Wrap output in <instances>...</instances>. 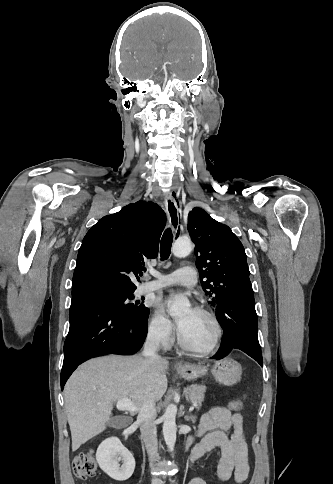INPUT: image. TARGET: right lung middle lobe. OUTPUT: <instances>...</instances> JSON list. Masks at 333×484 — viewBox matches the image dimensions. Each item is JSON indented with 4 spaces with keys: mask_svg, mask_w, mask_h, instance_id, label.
Instances as JSON below:
<instances>
[{
    "mask_svg": "<svg viewBox=\"0 0 333 484\" xmlns=\"http://www.w3.org/2000/svg\"><path fill=\"white\" fill-rule=\"evenodd\" d=\"M96 292L107 298L116 310L123 312L137 321H147L149 309L145 307L143 303H128L126 301L127 299H133V292H116L112 290H99Z\"/></svg>",
    "mask_w": 333,
    "mask_h": 484,
    "instance_id": "right-lung-middle-lobe-1",
    "label": "right lung middle lobe"
}]
</instances>
